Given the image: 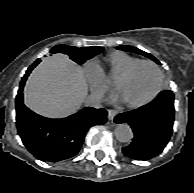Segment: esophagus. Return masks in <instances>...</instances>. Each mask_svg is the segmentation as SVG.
<instances>
[{
	"label": "esophagus",
	"instance_id": "1",
	"mask_svg": "<svg viewBox=\"0 0 194 193\" xmlns=\"http://www.w3.org/2000/svg\"><path fill=\"white\" fill-rule=\"evenodd\" d=\"M118 114V111L115 109H109L108 110V119L113 120L114 117Z\"/></svg>",
	"mask_w": 194,
	"mask_h": 193
}]
</instances>
